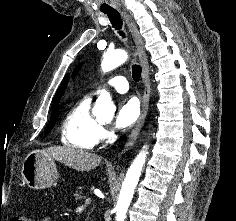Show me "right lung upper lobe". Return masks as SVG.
Listing matches in <instances>:
<instances>
[{
  "mask_svg": "<svg viewBox=\"0 0 236 221\" xmlns=\"http://www.w3.org/2000/svg\"><path fill=\"white\" fill-rule=\"evenodd\" d=\"M68 78L69 76L66 75L65 78L63 79L60 87L58 88L56 94H55V97H54V100H53V106L55 105H58L59 103V100H60V97L62 96L65 88H66V85H67V82H68Z\"/></svg>",
  "mask_w": 236,
  "mask_h": 221,
  "instance_id": "1",
  "label": "right lung upper lobe"
}]
</instances>
